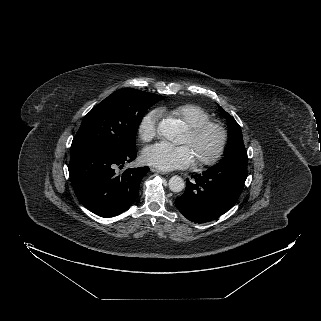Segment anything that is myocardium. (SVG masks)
I'll use <instances>...</instances> for the list:
<instances>
[{
    "label": "myocardium",
    "mask_w": 321,
    "mask_h": 321,
    "mask_svg": "<svg viewBox=\"0 0 321 321\" xmlns=\"http://www.w3.org/2000/svg\"><path fill=\"white\" fill-rule=\"evenodd\" d=\"M210 129H214L218 132L219 141L217 147L209 156L196 158V167L212 166L216 164L227 149L229 135L226 127L221 122L208 120L196 126L187 128V133L191 141H197Z\"/></svg>",
    "instance_id": "obj_1"
}]
</instances>
